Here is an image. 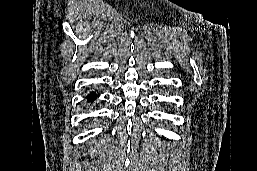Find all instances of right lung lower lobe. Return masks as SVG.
I'll list each match as a JSON object with an SVG mask.
<instances>
[{"label":"right lung lower lobe","mask_w":257,"mask_h":171,"mask_svg":"<svg viewBox=\"0 0 257 171\" xmlns=\"http://www.w3.org/2000/svg\"><path fill=\"white\" fill-rule=\"evenodd\" d=\"M91 96H92V98H90V95H89V97H87V101L88 102L90 101L92 103L94 101V98H97V95L95 92H91Z\"/></svg>","instance_id":"98d812e1"}]
</instances>
